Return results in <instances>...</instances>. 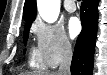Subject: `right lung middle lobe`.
Segmentation results:
<instances>
[{
	"mask_svg": "<svg viewBox=\"0 0 107 75\" xmlns=\"http://www.w3.org/2000/svg\"><path fill=\"white\" fill-rule=\"evenodd\" d=\"M31 23H27L24 29V42H26L27 38H28V34H29V27H30ZM25 52V50H24Z\"/></svg>",
	"mask_w": 107,
	"mask_h": 75,
	"instance_id": "obj_1",
	"label": "right lung middle lobe"
}]
</instances>
